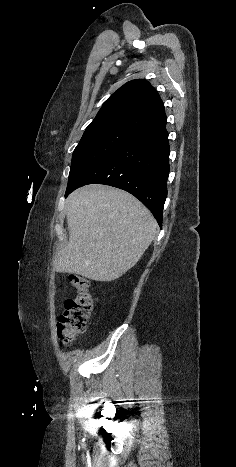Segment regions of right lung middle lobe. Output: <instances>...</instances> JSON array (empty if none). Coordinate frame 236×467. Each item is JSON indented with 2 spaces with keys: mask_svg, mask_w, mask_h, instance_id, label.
<instances>
[{
  "mask_svg": "<svg viewBox=\"0 0 236 467\" xmlns=\"http://www.w3.org/2000/svg\"><path fill=\"white\" fill-rule=\"evenodd\" d=\"M137 134L139 133L135 130L120 126L86 129L73 152L68 186L76 182L95 163Z\"/></svg>",
  "mask_w": 236,
  "mask_h": 467,
  "instance_id": "1",
  "label": "right lung middle lobe"
}]
</instances>
